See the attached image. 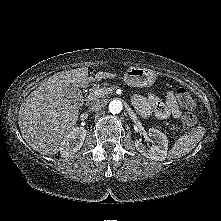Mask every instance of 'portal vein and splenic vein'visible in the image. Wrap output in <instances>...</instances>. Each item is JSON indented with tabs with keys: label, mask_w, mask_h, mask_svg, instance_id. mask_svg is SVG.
<instances>
[{
	"label": "portal vein and splenic vein",
	"mask_w": 221,
	"mask_h": 221,
	"mask_svg": "<svg viewBox=\"0 0 221 221\" xmlns=\"http://www.w3.org/2000/svg\"><path fill=\"white\" fill-rule=\"evenodd\" d=\"M110 92V89L108 88H100L96 91H94L89 97L90 98H96V97H102L104 96L105 94H108Z\"/></svg>",
	"instance_id": "1"
}]
</instances>
